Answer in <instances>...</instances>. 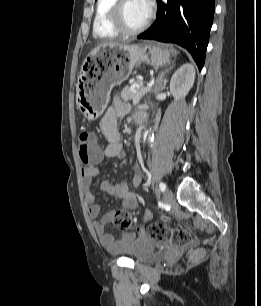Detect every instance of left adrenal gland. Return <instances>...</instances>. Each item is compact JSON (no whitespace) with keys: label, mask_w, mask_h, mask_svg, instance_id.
<instances>
[{"label":"left adrenal gland","mask_w":261,"mask_h":306,"mask_svg":"<svg viewBox=\"0 0 261 306\" xmlns=\"http://www.w3.org/2000/svg\"><path fill=\"white\" fill-rule=\"evenodd\" d=\"M174 67V65H171L170 67L166 68L164 71L160 73L157 79L158 88L157 91L163 90L165 88V85L167 83V79L165 78L166 74L169 73V71Z\"/></svg>","instance_id":"left-adrenal-gland-1"}]
</instances>
